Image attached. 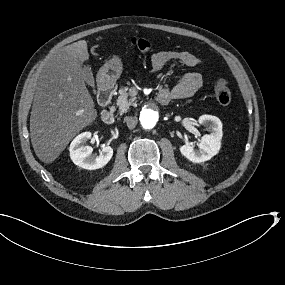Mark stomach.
I'll list each match as a JSON object with an SVG mask.
<instances>
[{
    "label": "stomach",
    "instance_id": "1",
    "mask_svg": "<svg viewBox=\"0 0 285 285\" xmlns=\"http://www.w3.org/2000/svg\"><path fill=\"white\" fill-rule=\"evenodd\" d=\"M122 72V64L120 59L117 56H113L107 62V65L104 66L97 75V80L103 85H111L116 82Z\"/></svg>",
    "mask_w": 285,
    "mask_h": 285
}]
</instances>
